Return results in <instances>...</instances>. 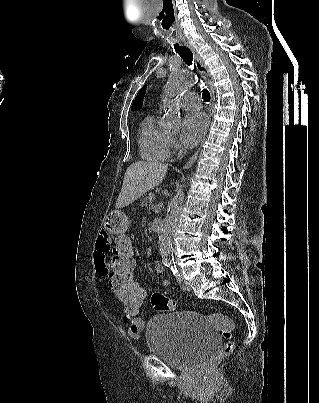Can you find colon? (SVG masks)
Segmentation results:
<instances>
[{"label": "colon", "mask_w": 319, "mask_h": 403, "mask_svg": "<svg viewBox=\"0 0 319 403\" xmlns=\"http://www.w3.org/2000/svg\"><path fill=\"white\" fill-rule=\"evenodd\" d=\"M115 248L119 252L112 253L110 260L113 269V300L116 304H122L123 313H146L145 296L147 282H136L133 278L134 268H137V240L134 234H115ZM151 304L160 313L173 312L178 309L176 301L169 299L162 292L156 291L151 296ZM227 342L220 348L216 357L210 363L205 375V381H209L222 359L231 355L234 351V343L231 340V332L223 330Z\"/></svg>", "instance_id": "colon-1"}]
</instances>
